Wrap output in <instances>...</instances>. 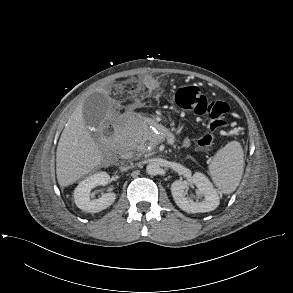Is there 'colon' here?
Instances as JSON below:
<instances>
[{"instance_id":"colon-1","label":"colon","mask_w":293,"mask_h":293,"mask_svg":"<svg viewBox=\"0 0 293 293\" xmlns=\"http://www.w3.org/2000/svg\"><path fill=\"white\" fill-rule=\"evenodd\" d=\"M129 85H123V88ZM175 102L183 110L197 115H207L210 118L209 128L211 131H217L227 123L226 116L229 112V106L226 102L209 99L196 86H182L175 92ZM108 134L111 132L108 131ZM214 142L212 135H205L198 141L200 147L205 150H211Z\"/></svg>"}]
</instances>
